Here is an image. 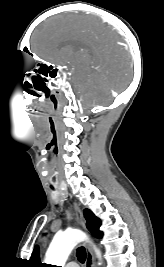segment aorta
Segmentation results:
<instances>
[{
	"label": "aorta",
	"instance_id": "762f6f07",
	"mask_svg": "<svg viewBox=\"0 0 164 267\" xmlns=\"http://www.w3.org/2000/svg\"><path fill=\"white\" fill-rule=\"evenodd\" d=\"M85 240H87V236L75 229L55 235L46 252V263L64 267L73 248ZM95 252L97 257L101 259V253L97 248H95Z\"/></svg>",
	"mask_w": 164,
	"mask_h": 267
}]
</instances>
